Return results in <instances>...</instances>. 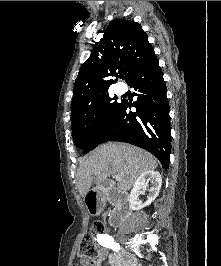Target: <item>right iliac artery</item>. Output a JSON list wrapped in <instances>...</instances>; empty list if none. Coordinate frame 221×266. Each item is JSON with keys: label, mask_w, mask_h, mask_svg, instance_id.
Instances as JSON below:
<instances>
[{"label": "right iliac artery", "mask_w": 221, "mask_h": 266, "mask_svg": "<svg viewBox=\"0 0 221 266\" xmlns=\"http://www.w3.org/2000/svg\"><path fill=\"white\" fill-rule=\"evenodd\" d=\"M99 244L106 248L113 249L114 251L118 252L120 250V245L114 241L112 236L107 234H101L97 237Z\"/></svg>", "instance_id": "82829eb1"}]
</instances>
